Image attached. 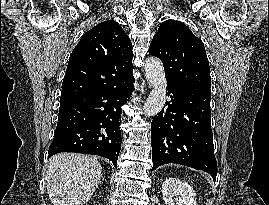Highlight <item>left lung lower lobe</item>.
<instances>
[{
    "label": "left lung lower lobe",
    "instance_id": "obj_1",
    "mask_svg": "<svg viewBox=\"0 0 269 205\" xmlns=\"http://www.w3.org/2000/svg\"><path fill=\"white\" fill-rule=\"evenodd\" d=\"M167 89L171 101H166L151 125L152 170L176 163L203 170L215 181L210 88L167 84Z\"/></svg>",
    "mask_w": 269,
    "mask_h": 205
}]
</instances>
